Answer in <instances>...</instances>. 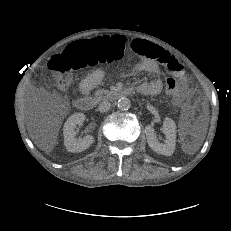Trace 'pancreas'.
Returning a JSON list of instances; mask_svg holds the SVG:
<instances>
[{
	"mask_svg": "<svg viewBox=\"0 0 231 231\" xmlns=\"http://www.w3.org/2000/svg\"><path fill=\"white\" fill-rule=\"evenodd\" d=\"M109 92L107 90H97L94 92V96L97 98V99H101L104 95H108Z\"/></svg>",
	"mask_w": 231,
	"mask_h": 231,
	"instance_id": "1",
	"label": "pancreas"
}]
</instances>
